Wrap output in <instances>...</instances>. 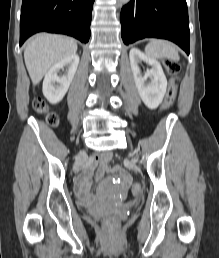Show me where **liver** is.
I'll return each instance as SVG.
<instances>
[{
    "label": "liver",
    "mask_w": 219,
    "mask_h": 258,
    "mask_svg": "<svg viewBox=\"0 0 219 258\" xmlns=\"http://www.w3.org/2000/svg\"><path fill=\"white\" fill-rule=\"evenodd\" d=\"M76 51L77 43L69 37L41 33L31 38L24 50V60L33 85H37L53 65Z\"/></svg>",
    "instance_id": "liver-1"
}]
</instances>
